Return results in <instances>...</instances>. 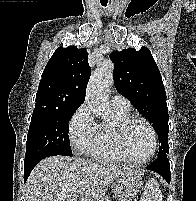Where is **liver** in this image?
<instances>
[{"label":"liver","instance_id":"1","mask_svg":"<svg viewBox=\"0 0 196 201\" xmlns=\"http://www.w3.org/2000/svg\"><path fill=\"white\" fill-rule=\"evenodd\" d=\"M141 174L106 161L51 156L36 165L26 182V201H104L114 180ZM82 190V194L78 191Z\"/></svg>","mask_w":196,"mask_h":201}]
</instances>
